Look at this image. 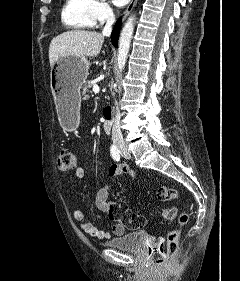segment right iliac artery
Here are the masks:
<instances>
[{
  "label": "right iliac artery",
  "mask_w": 240,
  "mask_h": 281,
  "mask_svg": "<svg viewBox=\"0 0 240 281\" xmlns=\"http://www.w3.org/2000/svg\"><path fill=\"white\" fill-rule=\"evenodd\" d=\"M110 152H111L112 158L115 161H119L120 160V154H119V151H118V149H117V147L115 145L111 146Z\"/></svg>",
  "instance_id": "82829eb1"
}]
</instances>
